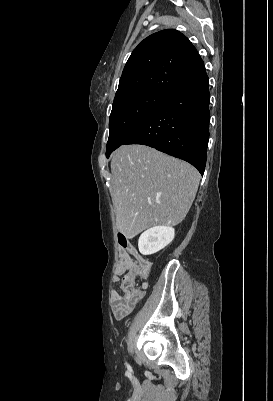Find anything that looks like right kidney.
<instances>
[{"mask_svg": "<svg viewBox=\"0 0 273 401\" xmlns=\"http://www.w3.org/2000/svg\"><path fill=\"white\" fill-rule=\"evenodd\" d=\"M174 237L175 231L172 227H152L139 237L138 249L141 255H154L167 247Z\"/></svg>", "mask_w": 273, "mask_h": 401, "instance_id": "obj_1", "label": "right kidney"}]
</instances>
